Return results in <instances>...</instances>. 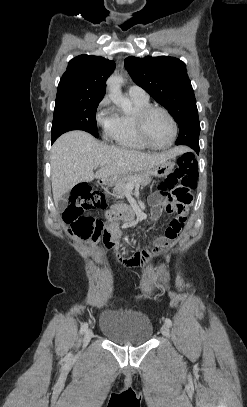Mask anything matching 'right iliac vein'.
Segmentation results:
<instances>
[{"instance_id": "1", "label": "right iliac vein", "mask_w": 247, "mask_h": 407, "mask_svg": "<svg viewBox=\"0 0 247 407\" xmlns=\"http://www.w3.org/2000/svg\"><path fill=\"white\" fill-rule=\"evenodd\" d=\"M93 337V331L91 329H88L83 337V347H85L89 341L91 340V338Z\"/></svg>"}]
</instances>
